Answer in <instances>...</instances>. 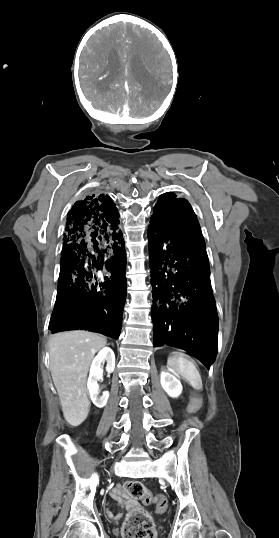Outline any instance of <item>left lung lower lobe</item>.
Masks as SVG:
<instances>
[{
    "label": "left lung lower lobe",
    "instance_id": "0a47b994",
    "mask_svg": "<svg viewBox=\"0 0 279 538\" xmlns=\"http://www.w3.org/2000/svg\"><path fill=\"white\" fill-rule=\"evenodd\" d=\"M154 347L186 350L207 369L217 354L218 315L203 236L148 227Z\"/></svg>",
    "mask_w": 279,
    "mask_h": 538
}]
</instances>
